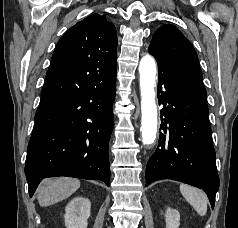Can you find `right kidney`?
I'll return each mask as SVG.
<instances>
[{
	"label": "right kidney",
	"mask_w": 238,
	"mask_h": 228,
	"mask_svg": "<svg viewBox=\"0 0 238 228\" xmlns=\"http://www.w3.org/2000/svg\"><path fill=\"white\" fill-rule=\"evenodd\" d=\"M91 202L84 197L73 198L65 208L66 228H87Z\"/></svg>",
	"instance_id": "obj_1"
}]
</instances>
